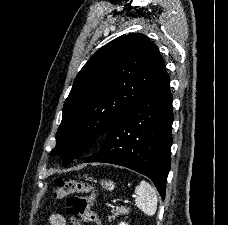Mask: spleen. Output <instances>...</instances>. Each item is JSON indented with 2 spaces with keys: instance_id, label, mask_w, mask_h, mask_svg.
I'll return each mask as SVG.
<instances>
[{
  "instance_id": "3e777b00",
  "label": "spleen",
  "mask_w": 228,
  "mask_h": 225,
  "mask_svg": "<svg viewBox=\"0 0 228 225\" xmlns=\"http://www.w3.org/2000/svg\"><path fill=\"white\" fill-rule=\"evenodd\" d=\"M135 193L136 207H138L140 211H143L147 217L155 215L158 203L157 191H155L149 183H146V181H141L138 187H136Z\"/></svg>"
}]
</instances>
